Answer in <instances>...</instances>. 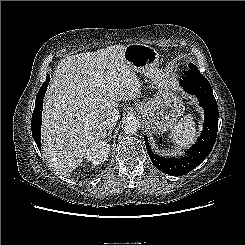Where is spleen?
Masks as SVG:
<instances>
[{
	"label": "spleen",
	"mask_w": 245,
	"mask_h": 245,
	"mask_svg": "<svg viewBox=\"0 0 245 245\" xmlns=\"http://www.w3.org/2000/svg\"><path fill=\"white\" fill-rule=\"evenodd\" d=\"M197 134L194 118L191 114L184 116L172 129L171 138L179 147H186L195 141Z\"/></svg>",
	"instance_id": "spleen-1"
}]
</instances>
